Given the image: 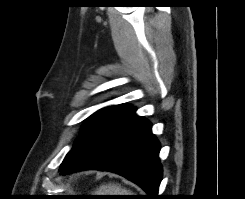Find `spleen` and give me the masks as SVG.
<instances>
[{
    "instance_id": "obj_1",
    "label": "spleen",
    "mask_w": 245,
    "mask_h": 199,
    "mask_svg": "<svg viewBox=\"0 0 245 199\" xmlns=\"http://www.w3.org/2000/svg\"><path fill=\"white\" fill-rule=\"evenodd\" d=\"M95 195H133L129 190L121 188L119 185H102L95 191Z\"/></svg>"
}]
</instances>
